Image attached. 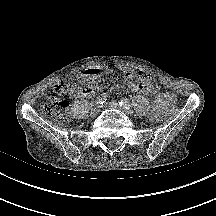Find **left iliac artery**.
<instances>
[{"mask_svg": "<svg viewBox=\"0 0 216 216\" xmlns=\"http://www.w3.org/2000/svg\"><path fill=\"white\" fill-rule=\"evenodd\" d=\"M119 105L123 106L125 108H131L132 107V104L129 101H127L126 99H121L119 101Z\"/></svg>", "mask_w": 216, "mask_h": 216, "instance_id": "obj_1", "label": "left iliac artery"}]
</instances>
